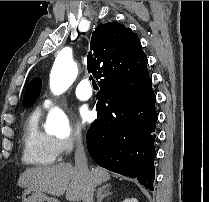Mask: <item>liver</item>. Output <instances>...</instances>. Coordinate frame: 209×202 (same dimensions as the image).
<instances>
[{"label":"liver","mask_w":209,"mask_h":202,"mask_svg":"<svg viewBox=\"0 0 209 202\" xmlns=\"http://www.w3.org/2000/svg\"><path fill=\"white\" fill-rule=\"evenodd\" d=\"M94 186L110 179L108 171L96 167L91 171ZM83 179L71 163H60L48 167L26 169L18 179V186L39 190L53 196L66 193L68 201L83 199Z\"/></svg>","instance_id":"1"}]
</instances>
